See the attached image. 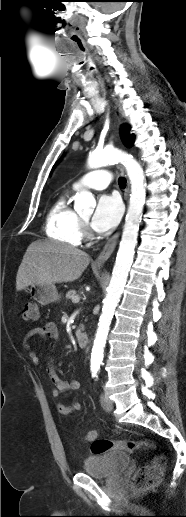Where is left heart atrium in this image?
<instances>
[{"instance_id":"obj_1","label":"left heart atrium","mask_w":186,"mask_h":517,"mask_svg":"<svg viewBox=\"0 0 186 517\" xmlns=\"http://www.w3.org/2000/svg\"><path fill=\"white\" fill-rule=\"evenodd\" d=\"M123 212L121 200L116 195H102L92 217V226L98 232L114 228Z\"/></svg>"}]
</instances>
